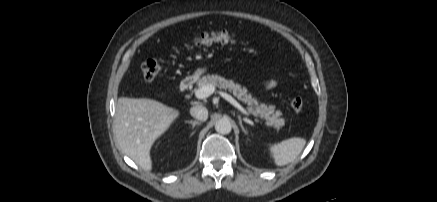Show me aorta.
Returning a JSON list of instances; mask_svg holds the SVG:
<instances>
[{"label": "aorta", "instance_id": "762f6f07", "mask_svg": "<svg viewBox=\"0 0 437 202\" xmlns=\"http://www.w3.org/2000/svg\"><path fill=\"white\" fill-rule=\"evenodd\" d=\"M215 130L220 134H229L232 130V125L228 119H220L215 123Z\"/></svg>", "mask_w": 437, "mask_h": 202}]
</instances>
